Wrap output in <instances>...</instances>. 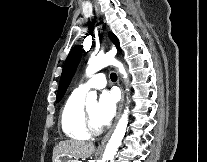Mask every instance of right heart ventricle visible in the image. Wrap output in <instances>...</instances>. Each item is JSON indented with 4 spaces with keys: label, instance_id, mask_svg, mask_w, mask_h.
<instances>
[{
    "label": "right heart ventricle",
    "instance_id": "e07e8e85",
    "mask_svg": "<svg viewBox=\"0 0 207 162\" xmlns=\"http://www.w3.org/2000/svg\"><path fill=\"white\" fill-rule=\"evenodd\" d=\"M84 93L74 90L66 100L60 115L63 133L74 140H88L90 133L84 125Z\"/></svg>",
    "mask_w": 207,
    "mask_h": 162
}]
</instances>
